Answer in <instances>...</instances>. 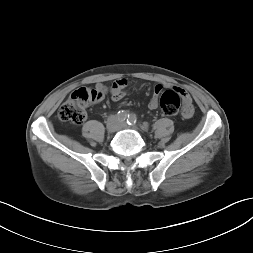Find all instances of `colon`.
Instances as JSON below:
<instances>
[{
    "mask_svg": "<svg viewBox=\"0 0 253 253\" xmlns=\"http://www.w3.org/2000/svg\"><path fill=\"white\" fill-rule=\"evenodd\" d=\"M105 93L97 88L81 87L72 92L61 106L58 116L60 120L81 124L86 119V109L100 101ZM160 107L164 115L175 116L181 110V96L172 89L166 90L160 97Z\"/></svg>",
    "mask_w": 253,
    "mask_h": 253,
    "instance_id": "5ec220e1",
    "label": "colon"
}]
</instances>
